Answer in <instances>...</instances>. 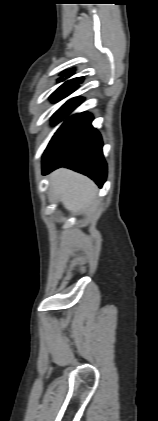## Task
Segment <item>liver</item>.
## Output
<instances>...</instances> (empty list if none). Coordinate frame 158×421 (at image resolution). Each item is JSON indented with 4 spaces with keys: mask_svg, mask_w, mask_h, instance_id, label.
<instances>
[{
    "mask_svg": "<svg viewBox=\"0 0 158 421\" xmlns=\"http://www.w3.org/2000/svg\"><path fill=\"white\" fill-rule=\"evenodd\" d=\"M56 197L73 213H83L94 204L95 184L87 177L67 169H58L50 175Z\"/></svg>",
    "mask_w": 158,
    "mask_h": 421,
    "instance_id": "6515ba94",
    "label": "liver"
}]
</instances>
